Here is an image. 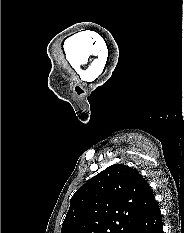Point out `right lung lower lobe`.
<instances>
[{
    "mask_svg": "<svg viewBox=\"0 0 184 233\" xmlns=\"http://www.w3.org/2000/svg\"><path fill=\"white\" fill-rule=\"evenodd\" d=\"M126 233H163L162 216L158 204H155Z\"/></svg>",
    "mask_w": 184,
    "mask_h": 233,
    "instance_id": "1",
    "label": "right lung lower lobe"
}]
</instances>
